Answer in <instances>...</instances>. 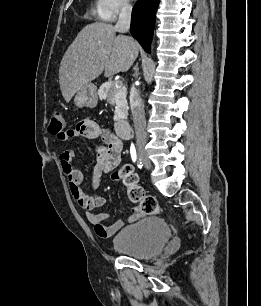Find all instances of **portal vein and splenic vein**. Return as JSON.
Segmentation results:
<instances>
[{
  "label": "portal vein and splenic vein",
  "mask_w": 261,
  "mask_h": 306,
  "mask_svg": "<svg viewBox=\"0 0 261 306\" xmlns=\"http://www.w3.org/2000/svg\"><path fill=\"white\" fill-rule=\"evenodd\" d=\"M122 86V82L121 81H116L115 82V87L119 88Z\"/></svg>",
  "instance_id": "1"
}]
</instances>
